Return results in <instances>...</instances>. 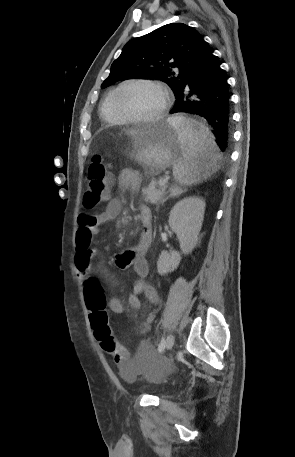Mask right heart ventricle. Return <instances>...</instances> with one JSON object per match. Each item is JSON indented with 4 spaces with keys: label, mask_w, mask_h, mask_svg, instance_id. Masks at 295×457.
Masks as SVG:
<instances>
[{
    "label": "right heart ventricle",
    "mask_w": 295,
    "mask_h": 457,
    "mask_svg": "<svg viewBox=\"0 0 295 457\" xmlns=\"http://www.w3.org/2000/svg\"><path fill=\"white\" fill-rule=\"evenodd\" d=\"M120 86V85H119ZM119 86L111 89L100 105V115L104 121L112 125H120L127 122L122 118L114 109V95L119 88Z\"/></svg>",
    "instance_id": "e07e8e85"
}]
</instances>
